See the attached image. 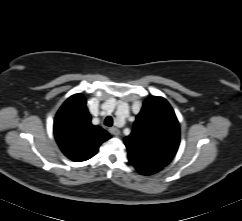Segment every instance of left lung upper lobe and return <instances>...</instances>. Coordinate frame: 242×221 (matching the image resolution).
<instances>
[{
    "label": "left lung upper lobe",
    "mask_w": 242,
    "mask_h": 221,
    "mask_svg": "<svg viewBox=\"0 0 242 221\" xmlns=\"http://www.w3.org/2000/svg\"><path fill=\"white\" fill-rule=\"evenodd\" d=\"M180 128L170 104L151 96L143 104L132 133L124 139L129 160L166 166L175 156Z\"/></svg>",
    "instance_id": "5c2ea615"
}]
</instances>
